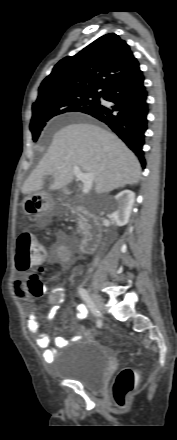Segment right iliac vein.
Returning <instances> with one entry per match:
<instances>
[{
    "label": "right iliac vein",
    "instance_id": "right-iliac-vein-1",
    "mask_svg": "<svg viewBox=\"0 0 177 440\" xmlns=\"http://www.w3.org/2000/svg\"><path fill=\"white\" fill-rule=\"evenodd\" d=\"M92 299H93V302H94L96 308L99 311H103L105 309L104 301L99 294H97L96 292H93Z\"/></svg>",
    "mask_w": 177,
    "mask_h": 440
}]
</instances>
